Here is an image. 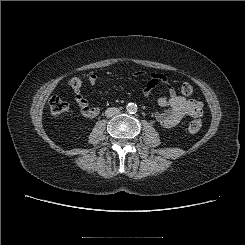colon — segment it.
<instances>
[{
    "label": "colon",
    "mask_w": 245,
    "mask_h": 245,
    "mask_svg": "<svg viewBox=\"0 0 245 245\" xmlns=\"http://www.w3.org/2000/svg\"><path fill=\"white\" fill-rule=\"evenodd\" d=\"M68 86L74 90L78 91L82 88V79L79 76H73L68 81ZM194 92V89L191 84L189 83H183L181 85V93L185 96H190ZM49 108L52 114L54 115H60L68 111L69 109V103L59 97V96H53L49 100ZM202 127V122L199 119H195L191 121L188 125V132L190 134H196L200 131Z\"/></svg>",
    "instance_id": "5ec220e1"
}]
</instances>
